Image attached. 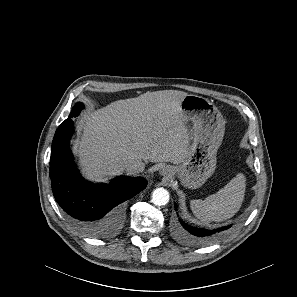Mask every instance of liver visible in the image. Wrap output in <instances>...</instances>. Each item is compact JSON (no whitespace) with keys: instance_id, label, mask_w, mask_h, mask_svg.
<instances>
[{"instance_id":"liver-1","label":"liver","mask_w":297,"mask_h":297,"mask_svg":"<svg viewBox=\"0 0 297 297\" xmlns=\"http://www.w3.org/2000/svg\"><path fill=\"white\" fill-rule=\"evenodd\" d=\"M185 96L177 90L147 92L85 114L73 147L83 174L97 180L119 175L131 158L180 164L192 139L180 117Z\"/></svg>"}]
</instances>
